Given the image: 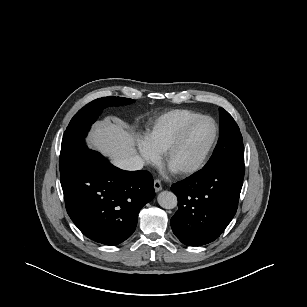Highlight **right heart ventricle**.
I'll return each instance as SVG.
<instances>
[{"label": "right heart ventricle", "instance_id": "1", "mask_svg": "<svg viewBox=\"0 0 307 307\" xmlns=\"http://www.w3.org/2000/svg\"><path fill=\"white\" fill-rule=\"evenodd\" d=\"M201 114L188 109L170 110L155 119L146 141L158 154L163 153L180 129Z\"/></svg>", "mask_w": 307, "mask_h": 307}]
</instances>
